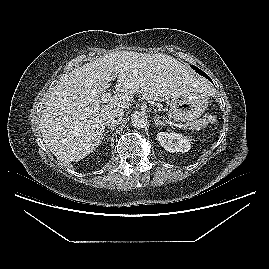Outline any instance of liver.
<instances>
[{"instance_id": "obj_1", "label": "liver", "mask_w": 269, "mask_h": 269, "mask_svg": "<svg viewBox=\"0 0 269 269\" xmlns=\"http://www.w3.org/2000/svg\"><path fill=\"white\" fill-rule=\"evenodd\" d=\"M113 79L118 93L104 104L100 97ZM192 91L207 95L208 87L172 56L134 51L109 53L58 81L42 110L43 141L58 160L80 161L101 143L108 112L128 108L135 94L164 101Z\"/></svg>"}]
</instances>
